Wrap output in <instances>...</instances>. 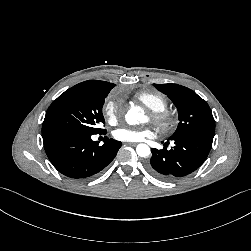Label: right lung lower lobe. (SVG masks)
Instances as JSON below:
<instances>
[{
    "label": "right lung lower lobe",
    "instance_id": "obj_1",
    "mask_svg": "<svg viewBox=\"0 0 251 251\" xmlns=\"http://www.w3.org/2000/svg\"><path fill=\"white\" fill-rule=\"evenodd\" d=\"M91 135L55 133L44 136V148L50 162L60 173L73 179L83 180L97 174L115 158L121 142L106 139L99 146V142L92 141Z\"/></svg>",
    "mask_w": 251,
    "mask_h": 251
}]
</instances>
